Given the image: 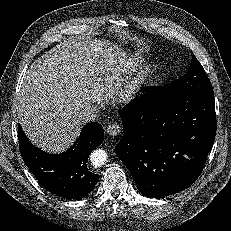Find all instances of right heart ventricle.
<instances>
[{
	"label": "right heart ventricle",
	"instance_id": "obj_1",
	"mask_svg": "<svg viewBox=\"0 0 231 231\" xmlns=\"http://www.w3.org/2000/svg\"><path fill=\"white\" fill-rule=\"evenodd\" d=\"M140 62L137 59H128L121 66L122 71L134 70L139 66Z\"/></svg>",
	"mask_w": 231,
	"mask_h": 231
}]
</instances>
